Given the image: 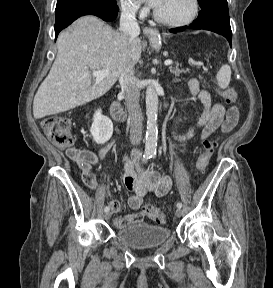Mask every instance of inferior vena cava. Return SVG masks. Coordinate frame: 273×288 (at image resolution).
I'll return each mask as SVG.
<instances>
[{
  "instance_id": "obj_1",
  "label": "inferior vena cava",
  "mask_w": 273,
  "mask_h": 288,
  "mask_svg": "<svg viewBox=\"0 0 273 288\" xmlns=\"http://www.w3.org/2000/svg\"><path fill=\"white\" fill-rule=\"evenodd\" d=\"M136 9L126 7L120 17V31L130 38H136L140 27L136 21ZM122 93L130 116V141L132 145L140 144L142 140L143 116L139 104L140 89L138 79L134 75V66H127L119 76Z\"/></svg>"
}]
</instances>
